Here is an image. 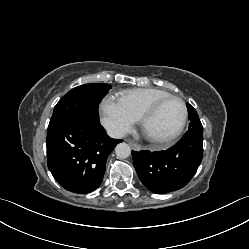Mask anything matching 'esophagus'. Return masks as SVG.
I'll list each match as a JSON object with an SVG mask.
<instances>
[{"label":"esophagus","instance_id":"esophagus-1","mask_svg":"<svg viewBox=\"0 0 249 249\" xmlns=\"http://www.w3.org/2000/svg\"><path fill=\"white\" fill-rule=\"evenodd\" d=\"M128 143H129V145H130L134 150H136V151L141 150V147H140L138 144H136V143H134V142H132V141H128Z\"/></svg>","mask_w":249,"mask_h":249}]
</instances>
